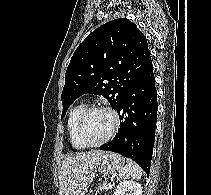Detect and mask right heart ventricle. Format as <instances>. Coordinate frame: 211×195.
I'll list each match as a JSON object with an SVG mask.
<instances>
[{
	"mask_svg": "<svg viewBox=\"0 0 211 195\" xmlns=\"http://www.w3.org/2000/svg\"><path fill=\"white\" fill-rule=\"evenodd\" d=\"M86 108H87L86 103H80L76 105L70 110L68 114V119H67V129H68L70 142L72 146L78 150H82L86 148V146H84L83 143L79 140L77 136V130H76L78 118Z\"/></svg>",
	"mask_w": 211,
	"mask_h": 195,
	"instance_id": "1",
	"label": "right heart ventricle"
}]
</instances>
